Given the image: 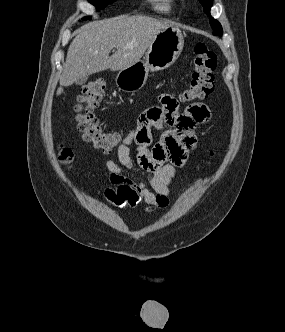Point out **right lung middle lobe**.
Here are the masks:
<instances>
[{"mask_svg": "<svg viewBox=\"0 0 285 332\" xmlns=\"http://www.w3.org/2000/svg\"><path fill=\"white\" fill-rule=\"evenodd\" d=\"M88 1L94 6H96L98 10H100L105 8L108 4L113 3L115 0H88Z\"/></svg>", "mask_w": 285, "mask_h": 332, "instance_id": "1", "label": "right lung middle lobe"}]
</instances>
